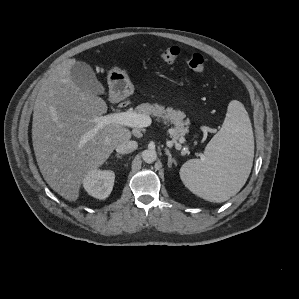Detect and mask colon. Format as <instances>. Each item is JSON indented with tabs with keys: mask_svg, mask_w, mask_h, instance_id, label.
Returning <instances> with one entry per match:
<instances>
[{
	"mask_svg": "<svg viewBox=\"0 0 299 299\" xmlns=\"http://www.w3.org/2000/svg\"><path fill=\"white\" fill-rule=\"evenodd\" d=\"M180 49L177 46L165 47L159 50V57L167 63L177 61L180 56ZM187 66L195 72L202 73L206 69L205 59L202 55L195 53L186 59Z\"/></svg>",
	"mask_w": 299,
	"mask_h": 299,
	"instance_id": "1",
	"label": "colon"
}]
</instances>
